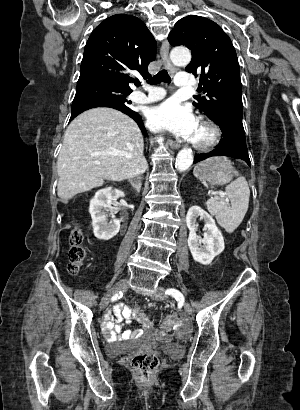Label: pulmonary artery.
I'll list each match as a JSON object with an SVG mask.
<instances>
[{
	"mask_svg": "<svg viewBox=\"0 0 300 410\" xmlns=\"http://www.w3.org/2000/svg\"><path fill=\"white\" fill-rule=\"evenodd\" d=\"M175 84L178 87H192L195 84V77L192 74L180 72L177 74ZM143 91H135L131 94V99L138 104H148L162 99L165 92L162 89L145 85Z\"/></svg>",
	"mask_w": 300,
	"mask_h": 410,
	"instance_id": "1",
	"label": "pulmonary artery"
}]
</instances>
